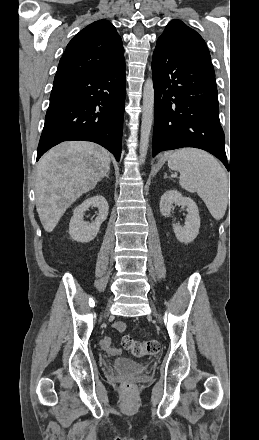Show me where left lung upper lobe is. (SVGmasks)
Masks as SVG:
<instances>
[{"instance_id": "1", "label": "left lung upper lobe", "mask_w": 259, "mask_h": 440, "mask_svg": "<svg viewBox=\"0 0 259 440\" xmlns=\"http://www.w3.org/2000/svg\"><path fill=\"white\" fill-rule=\"evenodd\" d=\"M165 44L177 51L199 53L210 58L208 48L202 37L180 20H172L166 26L157 44Z\"/></svg>"}]
</instances>
